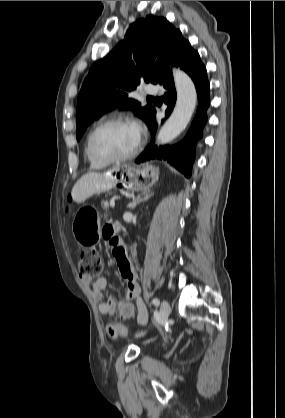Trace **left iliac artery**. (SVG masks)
Here are the masks:
<instances>
[{
	"label": "left iliac artery",
	"instance_id": "1",
	"mask_svg": "<svg viewBox=\"0 0 285 418\" xmlns=\"http://www.w3.org/2000/svg\"><path fill=\"white\" fill-rule=\"evenodd\" d=\"M152 303H153V305L158 306V305H159V303H160V301H159V299H158V298H153V299H152Z\"/></svg>",
	"mask_w": 285,
	"mask_h": 418
}]
</instances>
